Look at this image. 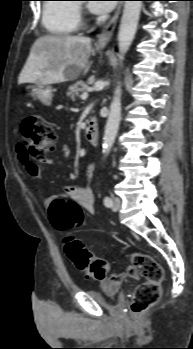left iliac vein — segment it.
Here are the masks:
<instances>
[{"label":"left iliac vein","mask_w":193,"mask_h":349,"mask_svg":"<svg viewBox=\"0 0 193 349\" xmlns=\"http://www.w3.org/2000/svg\"><path fill=\"white\" fill-rule=\"evenodd\" d=\"M120 205H121L120 199L118 197H113V199H112V209H113V211L119 210Z\"/></svg>","instance_id":"4c4485c4"}]
</instances>
